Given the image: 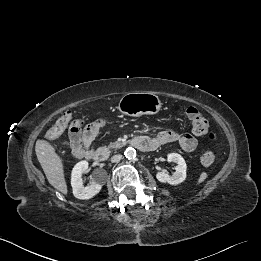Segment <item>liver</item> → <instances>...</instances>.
Segmentation results:
<instances>
[{
  "mask_svg": "<svg viewBox=\"0 0 261 261\" xmlns=\"http://www.w3.org/2000/svg\"><path fill=\"white\" fill-rule=\"evenodd\" d=\"M35 151L48 182L59 192L67 194L63 162L55 152V148L45 140H38L35 145Z\"/></svg>",
  "mask_w": 261,
  "mask_h": 261,
  "instance_id": "liver-1",
  "label": "liver"
}]
</instances>
